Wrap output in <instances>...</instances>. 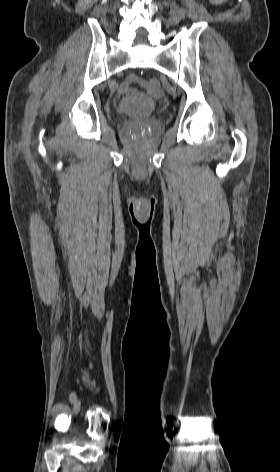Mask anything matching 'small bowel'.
Listing matches in <instances>:
<instances>
[{"label": "small bowel", "mask_w": 280, "mask_h": 472, "mask_svg": "<svg viewBox=\"0 0 280 472\" xmlns=\"http://www.w3.org/2000/svg\"><path fill=\"white\" fill-rule=\"evenodd\" d=\"M134 83H137V84H139L141 86H144V87H148L147 82L145 80L139 78L138 76H136L134 74H131L122 83L121 88H120L121 92H123V93L128 92L130 90V86Z\"/></svg>", "instance_id": "c3829d8e"}]
</instances>
